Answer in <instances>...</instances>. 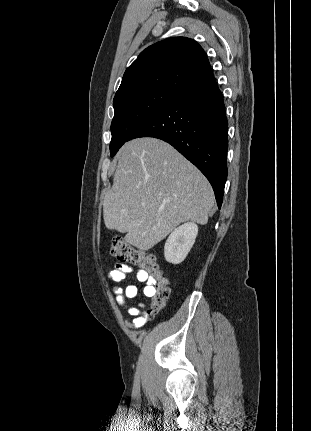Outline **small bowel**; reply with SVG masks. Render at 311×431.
<instances>
[{
	"instance_id": "1",
	"label": "small bowel",
	"mask_w": 311,
	"mask_h": 431,
	"mask_svg": "<svg viewBox=\"0 0 311 431\" xmlns=\"http://www.w3.org/2000/svg\"><path fill=\"white\" fill-rule=\"evenodd\" d=\"M129 275H134L136 279L145 283L143 293L146 297H151L153 294L152 280L145 270H135L134 268L124 265L116 264L114 269L109 273V279L112 283L117 284L127 279ZM113 292L115 294L116 303L119 306L125 307L128 314L133 318L132 321L125 320V324L133 328L142 327L147 321V314L143 311L144 303L139 302L136 306H129L128 299H133L138 294V288L134 284H128L125 287L114 286Z\"/></svg>"
}]
</instances>
